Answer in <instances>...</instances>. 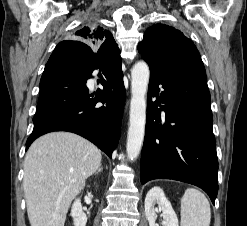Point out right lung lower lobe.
Returning a JSON list of instances; mask_svg holds the SVG:
<instances>
[{
    "label": "right lung lower lobe",
    "instance_id": "98d812e1",
    "mask_svg": "<svg viewBox=\"0 0 247 226\" xmlns=\"http://www.w3.org/2000/svg\"><path fill=\"white\" fill-rule=\"evenodd\" d=\"M99 70L103 90L90 98L86 82ZM126 93L121 62L111 51L77 40L60 42L51 54L40 80V95L33 118L34 128L26 150L39 136L69 131L85 137L109 157L118 145ZM97 102L105 106L96 107Z\"/></svg>",
    "mask_w": 247,
    "mask_h": 226
}]
</instances>
